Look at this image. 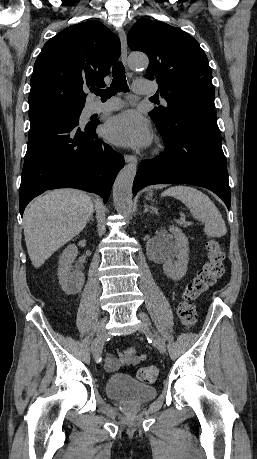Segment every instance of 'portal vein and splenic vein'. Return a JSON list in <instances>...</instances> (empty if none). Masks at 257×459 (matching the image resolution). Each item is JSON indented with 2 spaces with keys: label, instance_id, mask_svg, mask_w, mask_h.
I'll return each mask as SVG.
<instances>
[{
  "label": "portal vein and splenic vein",
  "instance_id": "portal-vein-and-splenic-vein-1",
  "mask_svg": "<svg viewBox=\"0 0 257 459\" xmlns=\"http://www.w3.org/2000/svg\"><path fill=\"white\" fill-rule=\"evenodd\" d=\"M181 224H187V222H185L184 220L180 222Z\"/></svg>",
  "mask_w": 257,
  "mask_h": 459
}]
</instances>
